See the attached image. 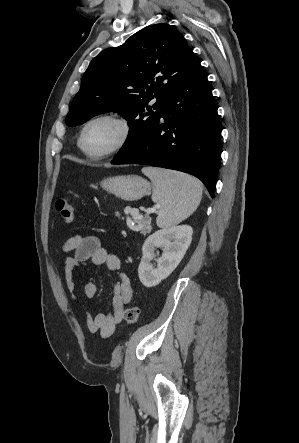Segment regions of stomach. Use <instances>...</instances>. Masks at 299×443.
<instances>
[{"label": "stomach", "instance_id": "0dacf381", "mask_svg": "<svg viewBox=\"0 0 299 443\" xmlns=\"http://www.w3.org/2000/svg\"><path fill=\"white\" fill-rule=\"evenodd\" d=\"M101 186L106 191L127 201L139 200L150 194L152 190L150 182L137 175L109 177L101 182Z\"/></svg>", "mask_w": 299, "mask_h": 443}]
</instances>
